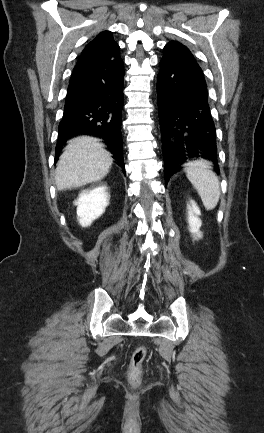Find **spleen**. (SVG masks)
Here are the masks:
<instances>
[{
  "instance_id": "3e777b00",
  "label": "spleen",
  "mask_w": 264,
  "mask_h": 433,
  "mask_svg": "<svg viewBox=\"0 0 264 433\" xmlns=\"http://www.w3.org/2000/svg\"><path fill=\"white\" fill-rule=\"evenodd\" d=\"M185 171L205 208L214 209L219 201L220 185L218 177L211 169V163L202 159L189 162L185 164Z\"/></svg>"
}]
</instances>
